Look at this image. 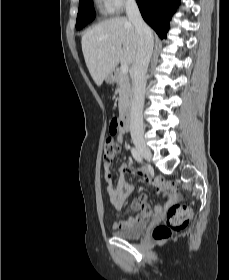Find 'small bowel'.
<instances>
[{"instance_id": "c3829d8e", "label": "small bowel", "mask_w": 229, "mask_h": 280, "mask_svg": "<svg viewBox=\"0 0 229 280\" xmlns=\"http://www.w3.org/2000/svg\"><path fill=\"white\" fill-rule=\"evenodd\" d=\"M125 133L126 131L119 128L115 133L116 141L121 143ZM128 170L129 165L126 162H122L115 170L119 176L117 184L113 185L111 183V180L108 179L107 191L110 197L111 204L116 210H121L124 207L127 199L134 192V186L131 183H127L124 181V176ZM133 172H136L135 169H133ZM138 172L140 173L143 179H149V173L147 172V170L139 169ZM170 191V186H159L157 188V193L165 198L169 196ZM171 201H174V198H172ZM167 205L168 204H166L165 207L157 206L152 212L149 206L144 202V200L139 199L134 201V203L132 204V210L134 212H143L145 216L154 215L157 217H161L162 215H164ZM143 218V216L130 217L126 220L115 222L112 228L114 231L127 229L132 227L137 221L142 220Z\"/></svg>"}]
</instances>
